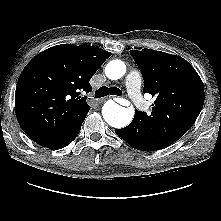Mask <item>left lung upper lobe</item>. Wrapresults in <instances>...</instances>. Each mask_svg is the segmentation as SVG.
Instances as JSON below:
<instances>
[{"label": "left lung upper lobe", "mask_w": 221, "mask_h": 221, "mask_svg": "<svg viewBox=\"0 0 221 221\" xmlns=\"http://www.w3.org/2000/svg\"><path fill=\"white\" fill-rule=\"evenodd\" d=\"M142 73L144 93L156 97L151 115L136 111L130 125L149 151L180 139L194 124L203 104L204 87L195 69L183 58L152 49L131 50Z\"/></svg>", "instance_id": "5c2ea615"}]
</instances>
